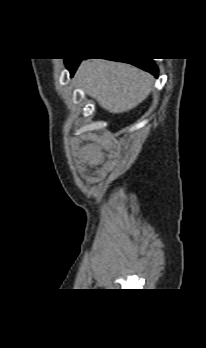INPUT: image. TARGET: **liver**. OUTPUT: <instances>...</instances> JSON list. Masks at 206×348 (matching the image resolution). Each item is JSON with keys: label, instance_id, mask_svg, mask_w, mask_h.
Segmentation results:
<instances>
[{"label": "liver", "instance_id": "1", "mask_svg": "<svg viewBox=\"0 0 206 348\" xmlns=\"http://www.w3.org/2000/svg\"><path fill=\"white\" fill-rule=\"evenodd\" d=\"M75 77L86 93L110 113L127 112L138 106L154 83L149 73L132 65L100 59L83 61Z\"/></svg>", "mask_w": 206, "mask_h": 348}]
</instances>
